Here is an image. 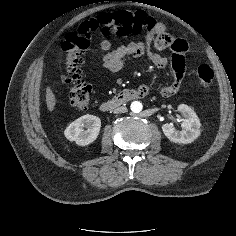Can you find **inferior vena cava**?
<instances>
[{
	"label": "inferior vena cava",
	"instance_id": "602c4592",
	"mask_svg": "<svg viewBox=\"0 0 236 236\" xmlns=\"http://www.w3.org/2000/svg\"><path fill=\"white\" fill-rule=\"evenodd\" d=\"M113 112L115 114L125 113L127 112V108L125 106H120V107L115 108Z\"/></svg>",
	"mask_w": 236,
	"mask_h": 236
}]
</instances>
